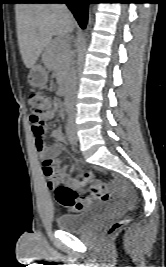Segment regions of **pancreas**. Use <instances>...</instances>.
<instances>
[{
  "label": "pancreas",
  "mask_w": 166,
  "mask_h": 267,
  "mask_svg": "<svg viewBox=\"0 0 166 267\" xmlns=\"http://www.w3.org/2000/svg\"><path fill=\"white\" fill-rule=\"evenodd\" d=\"M70 46L62 40L52 41L44 50L42 59L60 80L68 75Z\"/></svg>",
  "instance_id": "1"
}]
</instances>
